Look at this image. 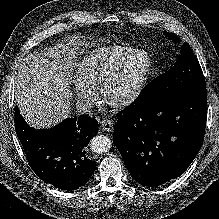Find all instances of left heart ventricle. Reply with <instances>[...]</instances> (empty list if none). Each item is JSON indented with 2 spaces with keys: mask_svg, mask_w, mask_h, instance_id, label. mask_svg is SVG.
I'll list each match as a JSON object with an SVG mask.
<instances>
[{
  "mask_svg": "<svg viewBox=\"0 0 219 219\" xmlns=\"http://www.w3.org/2000/svg\"><path fill=\"white\" fill-rule=\"evenodd\" d=\"M147 67L148 59L144 55L136 56L126 62L111 84L107 98L111 101H119L129 96L138 86Z\"/></svg>",
  "mask_w": 219,
  "mask_h": 219,
  "instance_id": "b2bd125f",
  "label": "left heart ventricle"
}]
</instances>
